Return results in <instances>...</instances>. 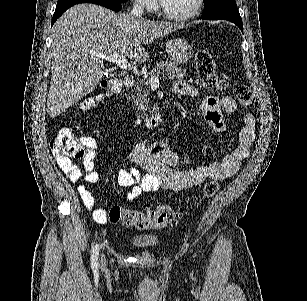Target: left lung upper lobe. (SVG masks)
I'll return each instance as SVG.
<instances>
[{
	"mask_svg": "<svg viewBox=\"0 0 307 301\" xmlns=\"http://www.w3.org/2000/svg\"><path fill=\"white\" fill-rule=\"evenodd\" d=\"M202 19L206 20H242L235 0H204Z\"/></svg>",
	"mask_w": 307,
	"mask_h": 301,
	"instance_id": "5c2ea615",
	"label": "left lung upper lobe"
}]
</instances>
